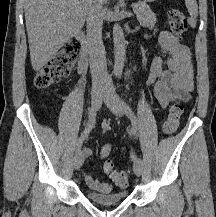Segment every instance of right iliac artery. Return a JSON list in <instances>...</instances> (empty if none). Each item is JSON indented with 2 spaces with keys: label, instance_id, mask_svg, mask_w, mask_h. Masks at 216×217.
I'll return each mask as SVG.
<instances>
[{
  "label": "right iliac artery",
  "instance_id": "82829eb1",
  "mask_svg": "<svg viewBox=\"0 0 216 217\" xmlns=\"http://www.w3.org/2000/svg\"><path fill=\"white\" fill-rule=\"evenodd\" d=\"M95 123H96V108L92 106L89 111V120H88L87 126L85 127L83 133L81 134V136L76 142V146H75L76 153L81 149V146L84 140L88 137V134L94 128Z\"/></svg>",
  "mask_w": 216,
  "mask_h": 217
}]
</instances>
